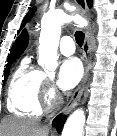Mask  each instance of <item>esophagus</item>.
<instances>
[{"mask_svg":"<svg viewBox=\"0 0 117 136\" xmlns=\"http://www.w3.org/2000/svg\"><path fill=\"white\" fill-rule=\"evenodd\" d=\"M75 3L77 4L81 14L84 17L88 16V7L86 0H75ZM83 56H84V65H85V71L84 76L80 82V84L77 86L75 91L73 92L71 99L67 106L64 109V113H68L80 100L82 93L84 91V88L86 86V82L89 77V71L91 66V32L90 30L85 31V40L83 44Z\"/></svg>","mask_w":117,"mask_h":136,"instance_id":"1","label":"esophagus"}]
</instances>
